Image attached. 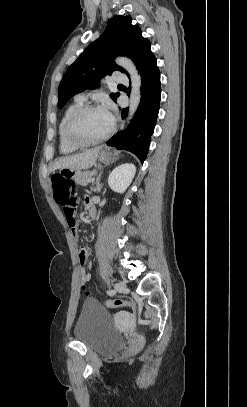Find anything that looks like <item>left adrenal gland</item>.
Instances as JSON below:
<instances>
[{"mask_svg":"<svg viewBox=\"0 0 247 407\" xmlns=\"http://www.w3.org/2000/svg\"><path fill=\"white\" fill-rule=\"evenodd\" d=\"M102 184H100V178L97 180V182H96V189L98 190V191H101V189H102Z\"/></svg>","mask_w":247,"mask_h":407,"instance_id":"left-adrenal-gland-1","label":"left adrenal gland"}]
</instances>
